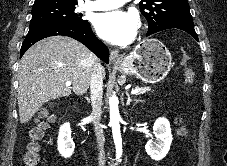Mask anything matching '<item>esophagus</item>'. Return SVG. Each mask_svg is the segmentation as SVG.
Masks as SVG:
<instances>
[{
  "label": "esophagus",
  "mask_w": 227,
  "mask_h": 166,
  "mask_svg": "<svg viewBox=\"0 0 227 166\" xmlns=\"http://www.w3.org/2000/svg\"><path fill=\"white\" fill-rule=\"evenodd\" d=\"M110 62L114 63V64L121 62V57H120V54H119V50H117V49L111 50V52H110Z\"/></svg>",
  "instance_id": "1"
}]
</instances>
